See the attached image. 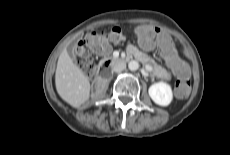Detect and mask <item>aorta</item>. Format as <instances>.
<instances>
[{"mask_svg":"<svg viewBox=\"0 0 230 155\" xmlns=\"http://www.w3.org/2000/svg\"><path fill=\"white\" fill-rule=\"evenodd\" d=\"M128 68L130 71H136L139 68L138 61L132 60L128 63Z\"/></svg>","mask_w":230,"mask_h":155,"instance_id":"obj_1","label":"aorta"}]
</instances>
